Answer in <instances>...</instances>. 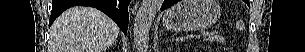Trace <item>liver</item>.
Returning a JSON list of instances; mask_svg holds the SVG:
<instances>
[{"label": "liver", "mask_w": 305, "mask_h": 52, "mask_svg": "<svg viewBox=\"0 0 305 52\" xmlns=\"http://www.w3.org/2000/svg\"><path fill=\"white\" fill-rule=\"evenodd\" d=\"M118 34V26L101 11L72 7L54 21L49 52H103L116 41Z\"/></svg>", "instance_id": "1"}]
</instances>
